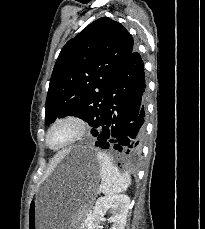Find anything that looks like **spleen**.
Returning a JSON list of instances; mask_svg holds the SVG:
<instances>
[{
  "mask_svg": "<svg viewBox=\"0 0 205 229\" xmlns=\"http://www.w3.org/2000/svg\"><path fill=\"white\" fill-rule=\"evenodd\" d=\"M97 159L101 168V192L107 196H113L126 191L131 184L130 175L128 173H120L113 165L110 157L103 152L97 153Z\"/></svg>",
  "mask_w": 205,
  "mask_h": 229,
  "instance_id": "1",
  "label": "spleen"
}]
</instances>
